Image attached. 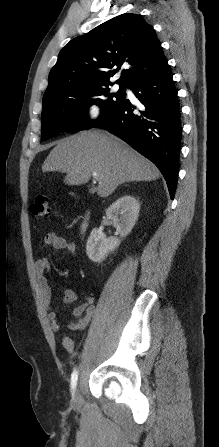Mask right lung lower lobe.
Segmentation results:
<instances>
[{
    "mask_svg": "<svg viewBox=\"0 0 219 447\" xmlns=\"http://www.w3.org/2000/svg\"><path fill=\"white\" fill-rule=\"evenodd\" d=\"M172 76L167 65L161 74L131 88L140 107L126 99L91 125L115 134L151 160L163 174L171 199L182 137L181 109Z\"/></svg>",
    "mask_w": 219,
    "mask_h": 447,
    "instance_id": "obj_1",
    "label": "right lung lower lobe"
}]
</instances>
